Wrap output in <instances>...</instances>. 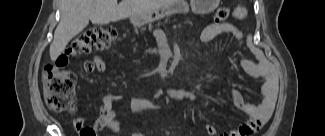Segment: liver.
<instances>
[{"label": "liver", "instance_id": "6515ba94", "mask_svg": "<svg viewBox=\"0 0 325 136\" xmlns=\"http://www.w3.org/2000/svg\"><path fill=\"white\" fill-rule=\"evenodd\" d=\"M172 0H61V18L50 45V58L55 61L71 39L84 30L89 20L98 25L116 22L126 17L142 15Z\"/></svg>", "mask_w": 325, "mask_h": 136}]
</instances>
